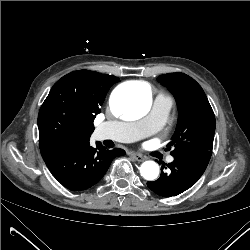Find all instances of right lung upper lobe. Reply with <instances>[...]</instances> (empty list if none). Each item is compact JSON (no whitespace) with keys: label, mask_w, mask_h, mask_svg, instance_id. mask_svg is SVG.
Instances as JSON below:
<instances>
[{"label":"right lung upper lobe","mask_w":250,"mask_h":250,"mask_svg":"<svg viewBox=\"0 0 250 250\" xmlns=\"http://www.w3.org/2000/svg\"><path fill=\"white\" fill-rule=\"evenodd\" d=\"M119 78L89 70L71 72L49 92L38 115L41 154L89 141L93 121Z\"/></svg>","instance_id":"obj_1"}]
</instances>
